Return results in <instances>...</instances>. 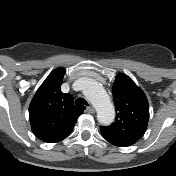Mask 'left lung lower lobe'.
I'll return each instance as SVG.
<instances>
[{
  "mask_svg": "<svg viewBox=\"0 0 176 176\" xmlns=\"http://www.w3.org/2000/svg\"><path fill=\"white\" fill-rule=\"evenodd\" d=\"M107 141H109L111 144L115 145V146H119V147H125V145L121 144L120 142L114 141L104 135H102Z\"/></svg>",
  "mask_w": 176,
  "mask_h": 176,
  "instance_id": "0a47b994",
  "label": "left lung lower lobe"
}]
</instances>
